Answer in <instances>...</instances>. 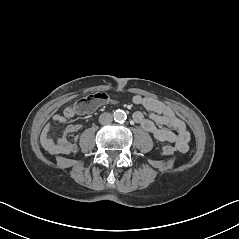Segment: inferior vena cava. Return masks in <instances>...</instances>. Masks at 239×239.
Returning a JSON list of instances; mask_svg holds the SVG:
<instances>
[{"mask_svg": "<svg viewBox=\"0 0 239 239\" xmlns=\"http://www.w3.org/2000/svg\"><path fill=\"white\" fill-rule=\"evenodd\" d=\"M113 121V117L110 113L104 112L99 116V123L102 125L111 124Z\"/></svg>", "mask_w": 239, "mask_h": 239, "instance_id": "inferior-vena-cava-1", "label": "inferior vena cava"}]
</instances>
